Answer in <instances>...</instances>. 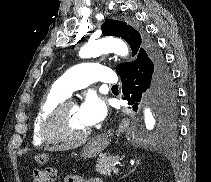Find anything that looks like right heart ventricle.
I'll use <instances>...</instances> for the list:
<instances>
[{
    "instance_id": "right-heart-ventricle-1",
    "label": "right heart ventricle",
    "mask_w": 211,
    "mask_h": 182,
    "mask_svg": "<svg viewBox=\"0 0 211 182\" xmlns=\"http://www.w3.org/2000/svg\"><path fill=\"white\" fill-rule=\"evenodd\" d=\"M66 98L61 91L53 87L41 100L32 123V143L35 146H41L47 142L41 133L44 121L51 111Z\"/></svg>"
}]
</instances>
